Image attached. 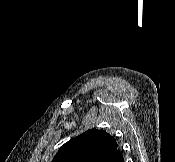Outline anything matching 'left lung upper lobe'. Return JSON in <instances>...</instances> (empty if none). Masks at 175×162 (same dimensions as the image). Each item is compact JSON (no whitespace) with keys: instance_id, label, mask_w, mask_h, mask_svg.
Segmentation results:
<instances>
[{"instance_id":"5c2ea615","label":"left lung upper lobe","mask_w":175,"mask_h":162,"mask_svg":"<svg viewBox=\"0 0 175 162\" xmlns=\"http://www.w3.org/2000/svg\"><path fill=\"white\" fill-rule=\"evenodd\" d=\"M116 149L110 134L92 128L61 146L52 162H105Z\"/></svg>"}]
</instances>
